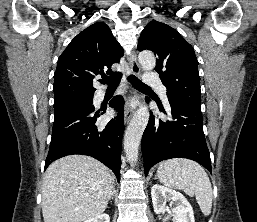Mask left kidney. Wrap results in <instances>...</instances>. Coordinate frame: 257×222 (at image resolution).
Here are the masks:
<instances>
[{
    "label": "left kidney",
    "instance_id": "5707ae66",
    "mask_svg": "<svg viewBox=\"0 0 257 222\" xmlns=\"http://www.w3.org/2000/svg\"><path fill=\"white\" fill-rule=\"evenodd\" d=\"M151 198L156 214L169 211L166 203L170 202V205L175 204V207L171 208L174 214L173 222H195L193 209L182 193L155 184L151 188Z\"/></svg>",
    "mask_w": 257,
    "mask_h": 222
}]
</instances>
